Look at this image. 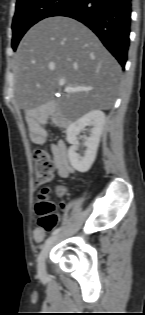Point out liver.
Wrapping results in <instances>:
<instances>
[{"mask_svg": "<svg viewBox=\"0 0 145 315\" xmlns=\"http://www.w3.org/2000/svg\"><path fill=\"white\" fill-rule=\"evenodd\" d=\"M13 98L28 121L38 110L55 122L71 124L94 109L111 108L121 67L98 37L68 17H49L34 25L21 40L13 63ZM65 88L92 90L63 92L55 98L59 81Z\"/></svg>", "mask_w": 145, "mask_h": 315, "instance_id": "liver-1", "label": "liver"}]
</instances>
